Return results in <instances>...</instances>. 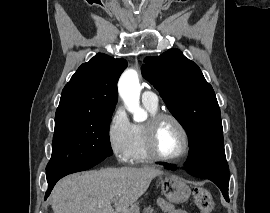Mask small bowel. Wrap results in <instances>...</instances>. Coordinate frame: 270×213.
Instances as JSON below:
<instances>
[{
    "label": "small bowel",
    "mask_w": 270,
    "mask_h": 213,
    "mask_svg": "<svg viewBox=\"0 0 270 213\" xmlns=\"http://www.w3.org/2000/svg\"><path fill=\"white\" fill-rule=\"evenodd\" d=\"M159 207L165 213H188L184 210L172 207L171 204L168 202H161L159 204Z\"/></svg>",
    "instance_id": "c3829d8e"
}]
</instances>
